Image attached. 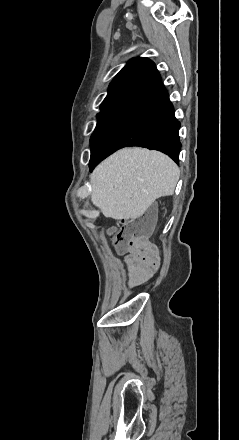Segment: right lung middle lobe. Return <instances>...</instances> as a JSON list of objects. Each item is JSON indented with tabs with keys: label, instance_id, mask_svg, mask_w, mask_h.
<instances>
[{
	"label": "right lung middle lobe",
	"instance_id": "obj_1",
	"mask_svg": "<svg viewBox=\"0 0 239 440\" xmlns=\"http://www.w3.org/2000/svg\"><path fill=\"white\" fill-rule=\"evenodd\" d=\"M130 101L131 100H115L101 104L100 113L97 115V126L90 138L91 154L97 149L102 138L116 123Z\"/></svg>",
	"mask_w": 239,
	"mask_h": 440
}]
</instances>
